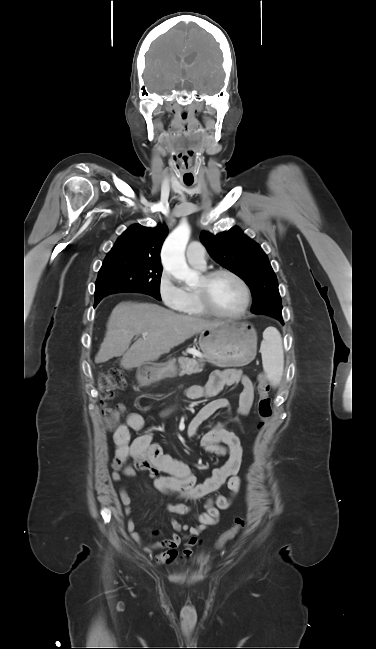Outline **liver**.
Masks as SVG:
<instances>
[{
	"mask_svg": "<svg viewBox=\"0 0 376 649\" xmlns=\"http://www.w3.org/2000/svg\"><path fill=\"white\" fill-rule=\"evenodd\" d=\"M222 324L180 315L153 303L122 302L112 310L95 362L123 356L120 364L124 369L136 368L157 360L195 334ZM140 334L143 338L129 348L133 337Z\"/></svg>",
	"mask_w": 376,
	"mask_h": 649,
	"instance_id": "obj_1",
	"label": "liver"
}]
</instances>
